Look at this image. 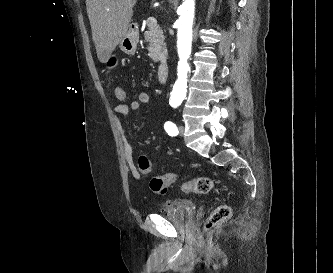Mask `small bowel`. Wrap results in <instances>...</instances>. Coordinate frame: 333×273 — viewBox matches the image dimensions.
<instances>
[{
	"label": "small bowel",
	"instance_id": "c3829d8e",
	"mask_svg": "<svg viewBox=\"0 0 333 273\" xmlns=\"http://www.w3.org/2000/svg\"><path fill=\"white\" fill-rule=\"evenodd\" d=\"M151 95L149 92L142 91L139 92L137 98L131 101L129 104H119L114 108L115 124L118 130L123 135V148L125 153V158L129 167V170L135 180L139 181L142 177V172L138 166V159H135L134 149L128 138L124 135V128L121 121L122 117H125L129 114L130 111H138L143 105H146L150 102Z\"/></svg>",
	"mask_w": 333,
	"mask_h": 273
}]
</instances>
